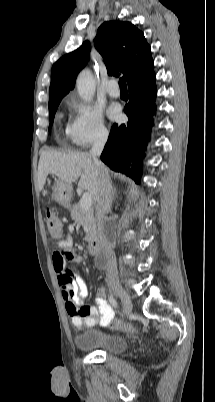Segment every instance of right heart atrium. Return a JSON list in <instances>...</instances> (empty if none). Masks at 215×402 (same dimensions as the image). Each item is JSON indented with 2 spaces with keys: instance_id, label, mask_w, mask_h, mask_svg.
<instances>
[{
  "instance_id": "right-heart-atrium-1",
  "label": "right heart atrium",
  "mask_w": 215,
  "mask_h": 402,
  "mask_svg": "<svg viewBox=\"0 0 215 402\" xmlns=\"http://www.w3.org/2000/svg\"><path fill=\"white\" fill-rule=\"evenodd\" d=\"M75 116L67 126V135L78 147H88L107 137L102 111L93 105L72 102Z\"/></svg>"
}]
</instances>
